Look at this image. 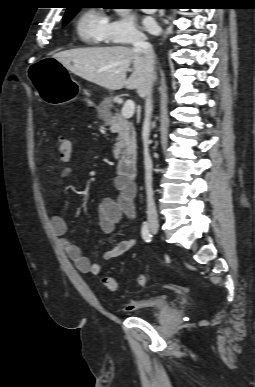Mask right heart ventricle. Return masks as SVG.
Segmentation results:
<instances>
[{
  "label": "right heart ventricle",
  "mask_w": 255,
  "mask_h": 387,
  "mask_svg": "<svg viewBox=\"0 0 255 387\" xmlns=\"http://www.w3.org/2000/svg\"><path fill=\"white\" fill-rule=\"evenodd\" d=\"M108 23L106 16L97 10H88L81 14L76 24L79 38L90 45L106 42L105 28Z\"/></svg>",
  "instance_id": "obj_1"
}]
</instances>
